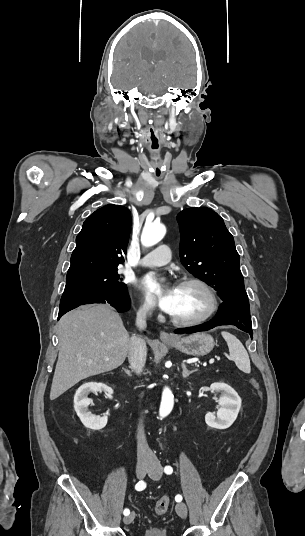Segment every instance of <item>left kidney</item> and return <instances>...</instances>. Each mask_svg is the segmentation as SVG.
<instances>
[{"mask_svg": "<svg viewBox=\"0 0 305 536\" xmlns=\"http://www.w3.org/2000/svg\"><path fill=\"white\" fill-rule=\"evenodd\" d=\"M211 390L212 392H221V396L217 400L221 408H219L216 416L208 412L205 416V422L210 428L226 430V428L232 426L238 416L241 408V398L233 388H230L228 384H222V382L211 384Z\"/></svg>", "mask_w": 305, "mask_h": 536, "instance_id": "left-kidney-1", "label": "left kidney"}]
</instances>
